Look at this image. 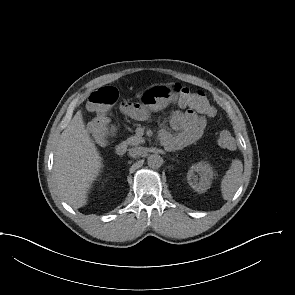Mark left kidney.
I'll use <instances>...</instances> for the list:
<instances>
[{"mask_svg": "<svg viewBox=\"0 0 295 295\" xmlns=\"http://www.w3.org/2000/svg\"><path fill=\"white\" fill-rule=\"evenodd\" d=\"M199 174V178L197 177ZM214 172L212 167L205 162H199L190 167L187 173L189 185L198 193H204L210 188Z\"/></svg>", "mask_w": 295, "mask_h": 295, "instance_id": "1", "label": "left kidney"}]
</instances>
